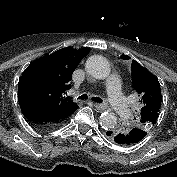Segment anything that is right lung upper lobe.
I'll list each match as a JSON object with an SVG mask.
<instances>
[{
  "label": "right lung upper lobe",
  "instance_id": "cb5924a9",
  "mask_svg": "<svg viewBox=\"0 0 177 177\" xmlns=\"http://www.w3.org/2000/svg\"><path fill=\"white\" fill-rule=\"evenodd\" d=\"M87 53V48H62L31 63L19 80L20 107L62 116L76 110L78 105L63 93L70 89L72 73Z\"/></svg>",
  "mask_w": 177,
  "mask_h": 177
}]
</instances>
